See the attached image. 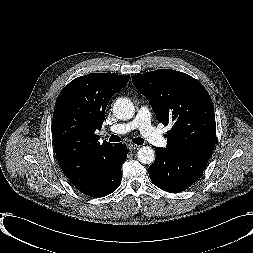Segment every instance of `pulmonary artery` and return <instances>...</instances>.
<instances>
[{"label": "pulmonary artery", "instance_id": "e3ab8cb5", "mask_svg": "<svg viewBox=\"0 0 253 253\" xmlns=\"http://www.w3.org/2000/svg\"><path fill=\"white\" fill-rule=\"evenodd\" d=\"M136 128L140 129L145 140L152 145L166 147L167 139L151 124L150 112L145 106L137 110L135 117L131 121L112 125L108 131L113 134H125Z\"/></svg>", "mask_w": 253, "mask_h": 253}]
</instances>
